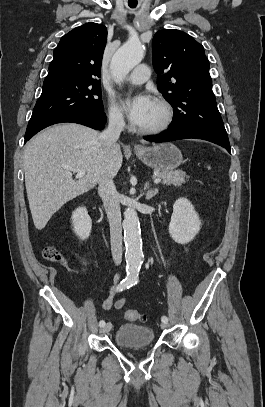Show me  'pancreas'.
<instances>
[{"label": "pancreas", "mask_w": 265, "mask_h": 407, "mask_svg": "<svg viewBox=\"0 0 265 407\" xmlns=\"http://www.w3.org/2000/svg\"><path fill=\"white\" fill-rule=\"evenodd\" d=\"M159 178H161L163 181V184L166 185H174V186H181L183 183L186 182L185 178H189L185 172L181 170H176V171H161L158 173Z\"/></svg>", "instance_id": "obj_1"}]
</instances>
